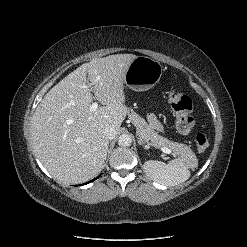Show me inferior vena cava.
<instances>
[{
    "instance_id": "1",
    "label": "inferior vena cava",
    "mask_w": 247,
    "mask_h": 247,
    "mask_svg": "<svg viewBox=\"0 0 247 247\" xmlns=\"http://www.w3.org/2000/svg\"><path fill=\"white\" fill-rule=\"evenodd\" d=\"M103 133L107 139L111 140L115 138L117 132L113 126L108 125L104 128Z\"/></svg>"
}]
</instances>
